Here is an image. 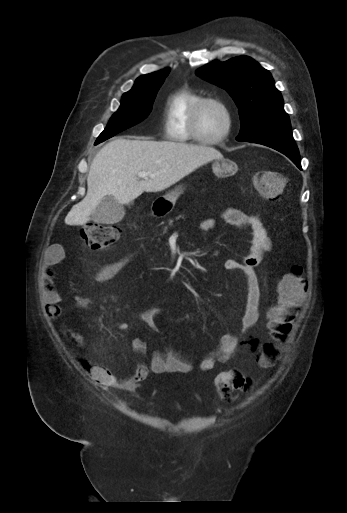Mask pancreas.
I'll return each mask as SVG.
<instances>
[{
	"label": "pancreas",
	"instance_id": "obj_1",
	"mask_svg": "<svg viewBox=\"0 0 347 513\" xmlns=\"http://www.w3.org/2000/svg\"><path fill=\"white\" fill-rule=\"evenodd\" d=\"M180 218H183V217H182V216H178V217H176V219H175V220L177 221V220H179ZM173 222H174V220H173V219H170L168 223H169V225H170V226H172V225H173ZM166 230H167V226L164 228V231H166Z\"/></svg>",
	"mask_w": 347,
	"mask_h": 513
}]
</instances>
